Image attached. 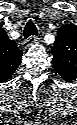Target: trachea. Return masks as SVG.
I'll return each instance as SVG.
<instances>
[{
  "mask_svg": "<svg viewBox=\"0 0 77 125\" xmlns=\"http://www.w3.org/2000/svg\"><path fill=\"white\" fill-rule=\"evenodd\" d=\"M38 34V30L34 24L33 21H28L26 26L24 27V32H23V36L24 38H28L30 36H37Z\"/></svg>",
  "mask_w": 77,
  "mask_h": 125,
  "instance_id": "trachea-1",
  "label": "trachea"
}]
</instances>
